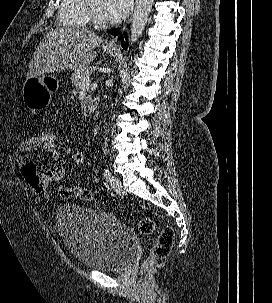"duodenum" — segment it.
<instances>
[{
	"instance_id": "obj_1",
	"label": "duodenum",
	"mask_w": 272,
	"mask_h": 303,
	"mask_svg": "<svg viewBox=\"0 0 272 303\" xmlns=\"http://www.w3.org/2000/svg\"><path fill=\"white\" fill-rule=\"evenodd\" d=\"M97 105H98V100H97V99L91 100V101L87 104V106H86V108H85L86 114L92 113V112L97 108Z\"/></svg>"
}]
</instances>
